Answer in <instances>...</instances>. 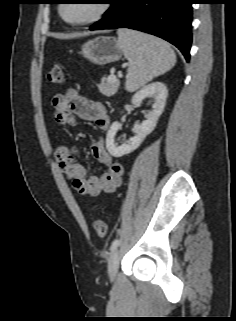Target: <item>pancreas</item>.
<instances>
[{"mask_svg":"<svg viewBox=\"0 0 236 321\" xmlns=\"http://www.w3.org/2000/svg\"><path fill=\"white\" fill-rule=\"evenodd\" d=\"M119 85L118 79L109 81V77H103L98 84V89L102 94L110 97L118 91Z\"/></svg>","mask_w":236,"mask_h":321,"instance_id":"pancreas-1","label":"pancreas"}]
</instances>
